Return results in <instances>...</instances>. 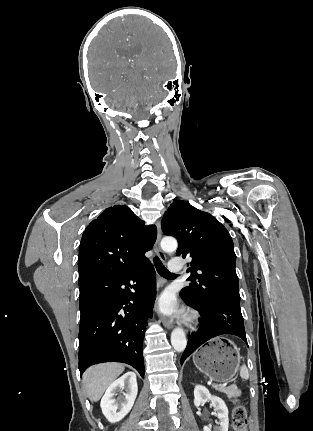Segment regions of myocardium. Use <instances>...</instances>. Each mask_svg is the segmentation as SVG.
<instances>
[{
  "instance_id": "1",
  "label": "myocardium",
  "mask_w": 313,
  "mask_h": 431,
  "mask_svg": "<svg viewBox=\"0 0 313 431\" xmlns=\"http://www.w3.org/2000/svg\"><path fill=\"white\" fill-rule=\"evenodd\" d=\"M191 320H192L194 323H196V322H197V320H198L197 315H196V314H192V316H191Z\"/></svg>"
}]
</instances>
